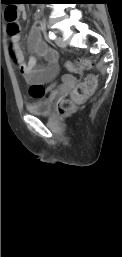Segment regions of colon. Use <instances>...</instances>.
I'll use <instances>...</instances> for the list:
<instances>
[{
	"instance_id": "colon-1",
	"label": "colon",
	"mask_w": 122,
	"mask_h": 257,
	"mask_svg": "<svg viewBox=\"0 0 122 257\" xmlns=\"http://www.w3.org/2000/svg\"><path fill=\"white\" fill-rule=\"evenodd\" d=\"M5 19L8 23V33L13 35L18 32L19 26L17 23L18 5H4ZM91 67V62L87 59H79L76 61L66 62V68L74 73H82L83 70ZM67 73L66 71L64 72ZM77 79H82V74H77ZM55 84H60V79L53 81ZM53 82L31 83L28 85V98H48L50 90H53ZM97 79L93 75L87 76L80 84L76 86L69 98L59 102V112L64 114L70 112L76 105L84 102L96 89Z\"/></svg>"
}]
</instances>
